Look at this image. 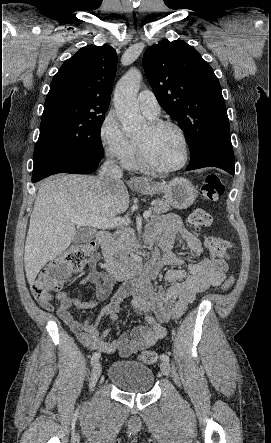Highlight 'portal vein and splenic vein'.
I'll return each mask as SVG.
<instances>
[{
    "instance_id": "obj_1",
    "label": "portal vein and splenic vein",
    "mask_w": 271,
    "mask_h": 443,
    "mask_svg": "<svg viewBox=\"0 0 271 443\" xmlns=\"http://www.w3.org/2000/svg\"><path fill=\"white\" fill-rule=\"evenodd\" d=\"M151 212H144L143 218H149ZM73 222L77 225H92V227H100V229H106V227H114V225H120L130 223L129 218H113V220H105V218H91L88 214H80V216H73Z\"/></svg>"
}]
</instances>
